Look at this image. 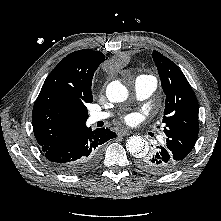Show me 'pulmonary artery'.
<instances>
[{"label":"pulmonary artery","instance_id":"1","mask_svg":"<svg viewBox=\"0 0 221 221\" xmlns=\"http://www.w3.org/2000/svg\"><path fill=\"white\" fill-rule=\"evenodd\" d=\"M157 87V81L152 76L141 75L136 78L134 84V91L137 99L145 100L149 98ZM111 114L109 112H92L89 115V122L96 123L98 121L107 119Z\"/></svg>","mask_w":221,"mask_h":221}]
</instances>
